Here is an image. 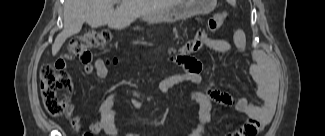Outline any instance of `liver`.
<instances>
[{"instance_id":"obj_1","label":"liver","mask_w":325,"mask_h":136,"mask_svg":"<svg viewBox=\"0 0 325 136\" xmlns=\"http://www.w3.org/2000/svg\"><path fill=\"white\" fill-rule=\"evenodd\" d=\"M66 0L64 4V28L53 45L52 55H56L63 43L78 34L84 22L92 28L108 25L112 29H124L141 16L161 12L177 3V0Z\"/></svg>"}]
</instances>
